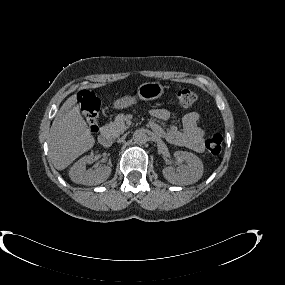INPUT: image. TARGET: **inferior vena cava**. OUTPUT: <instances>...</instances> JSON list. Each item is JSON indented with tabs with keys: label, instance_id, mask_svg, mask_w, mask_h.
<instances>
[{
	"label": "inferior vena cava",
	"instance_id": "602c4592",
	"mask_svg": "<svg viewBox=\"0 0 285 285\" xmlns=\"http://www.w3.org/2000/svg\"><path fill=\"white\" fill-rule=\"evenodd\" d=\"M124 142H125V137H124V136H119V137H118V140H117V143H118L119 145H122Z\"/></svg>",
	"mask_w": 285,
	"mask_h": 285
}]
</instances>
